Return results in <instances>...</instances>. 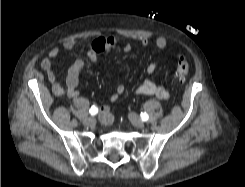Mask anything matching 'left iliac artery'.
Here are the masks:
<instances>
[{"mask_svg": "<svg viewBox=\"0 0 245 187\" xmlns=\"http://www.w3.org/2000/svg\"><path fill=\"white\" fill-rule=\"evenodd\" d=\"M148 118H149L148 114H146V113H141V119H142L143 121H147Z\"/></svg>", "mask_w": 245, "mask_h": 187, "instance_id": "44dca946", "label": "left iliac artery"}]
</instances>
